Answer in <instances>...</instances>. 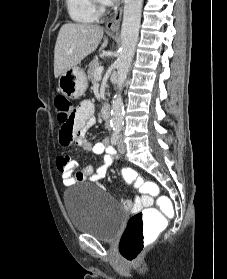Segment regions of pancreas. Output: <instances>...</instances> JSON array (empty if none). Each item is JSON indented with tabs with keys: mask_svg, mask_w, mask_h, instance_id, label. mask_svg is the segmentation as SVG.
I'll return each mask as SVG.
<instances>
[{
	"mask_svg": "<svg viewBox=\"0 0 227 279\" xmlns=\"http://www.w3.org/2000/svg\"><path fill=\"white\" fill-rule=\"evenodd\" d=\"M100 67V62L95 59L93 60L90 64H89V68H88V79L91 81V82H94L95 81V78H94V73L96 71V69H98Z\"/></svg>",
	"mask_w": 227,
	"mask_h": 279,
	"instance_id": "obj_1",
	"label": "pancreas"
}]
</instances>
